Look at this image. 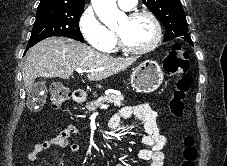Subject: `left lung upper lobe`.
I'll list each match as a JSON object with an SVG mask.
<instances>
[{
  "instance_id": "obj_1",
  "label": "left lung upper lobe",
  "mask_w": 227,
  "mask_h": 166,
  "mask_svg": "<svg viewBox=\"0 0 227 166\" xmlns=\"http://www.w3.org/2000/svg\"><path fill=\"white\" fill-rule=\"evenodd\" d=\"M143 2L166 27L164 41L180 38L193 45L180 0H143Z\"/></svg>"
}]
</instances>
